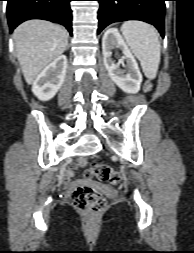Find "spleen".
<instances>
[{
    "label": "spleen",
    "instance_id": "1",
    "mask_svg": "<svg viewBox=\"0 0 194 253\" xmlns=\"http://www.w3.org/2000/svg\"><path fill=\"white\" fill-rule=\"evenodd\" d=\"M121 32L133 54L139 59L142 70L148 79L157 75L161 47L156 29L142 21H126Z\"/></svg>",
    "mask_w": 194,
    "mask_h": 253
}]
</instances>
